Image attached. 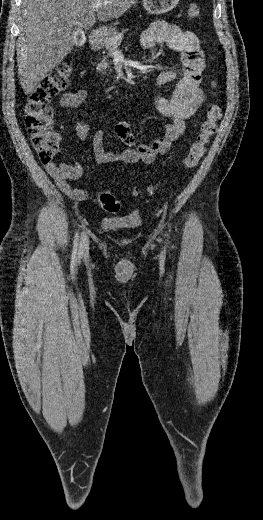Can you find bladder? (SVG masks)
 I'll return each mask as SVG.
<instances>
[{
	"mask_svg": "<svg viewBox=\"0 0 263 520\" xmlns=\"http://www.w3.org/2000/svg\"><path fill=\"white\" fill-rule=\"evenodd\" d=\"M141 225V217L137 212L125 215L105 217L101 221V227L106 231H132Z\"/></svg>",
	"mask_w": 263,
	"mask_h": 520,
	"instance_id": "1",
	"label": "bladder"
}]
</instances>
